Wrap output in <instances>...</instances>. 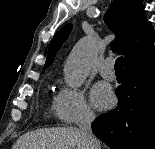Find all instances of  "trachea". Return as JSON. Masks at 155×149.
I'll list each match as a JSON object with an SVG mask.
<instances>
[{
    "label": "trachea",
    "mask_w": 155,
    "mask_h": 149,
    "mask_svg": "<svg viewBox=\"0 0 155 149\" xmlns=\"http://www.w3.org/2000/svg\"><path fill=\"white\" fill-rule=\"evenodd\" d=\"M114 67H115V70H120V71L123 70V67H122V57H119V58L116 59Z\"/></svg>",
    "instance_id": "1"
}]
</instances>
